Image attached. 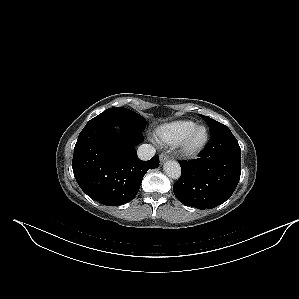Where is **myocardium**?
Returning a JSON list of instances; mask_svg holds the SVG:
<instances>
[{
  "label": "myocardium",
  "instance_id": "obj_1",
  "mask_svg": "<svg viewBox=\"0 0 299 299\" xmlns=\"http://www.w3.org/2000/svg\"><path fill=\"white\" fill-rule=\"evenodd\" d=\"M198 130L204 131V136L200 142L194 144L192 142L195 133ZM209 140V131L204 125L194 126L179 142V151L185 157H194L198 155L207 145Z\"/></svg>",
  "mask_w": 299,
  "mask_h": 299
}]
</instances>
